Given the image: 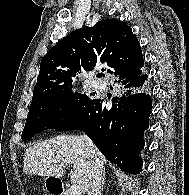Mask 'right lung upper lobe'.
Segmentation results:
<instances>
[{"instance_id": "right-lung-upper-lobe-1", "label": "right lung upper lobe", "mask_w": 189, "mask_h": 195, "mask_svg": "<svg viewBox=\"0 0 189 195\" xmlns=\"http://www.w3.org/2000/svg\"><path fill=\"white\" fill-rule=\"evenodd\" d=\"M101 63L114 75L143 66L137 37L123 21L101 20L71 32L52 47L41 61L32 102L73 87L79 73Z\"/></svg>"}]
</instances>
